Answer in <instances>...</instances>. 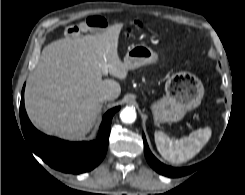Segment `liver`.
<instances>
[{
	"label": "liver",
	"mask_w": 245,
	"mask_h": 195,
	"mask_svg": "<svg viewBox=\"0 0 245 195\" xmlns=\"http://www.w3.org/2000/svg\"><path fill=\"white\" fill-rule=\"evenodd\" d=\"M122 24L100 34L64 38L47 45L28 79L25 107L33 124L46 134L67 140L83 138L94 126L103 94L115 100L120 84L102 80L103 66L119 79L130 70L118 55Z\"/></svg>",
	"instance_id": "1"
}]
</instances>
